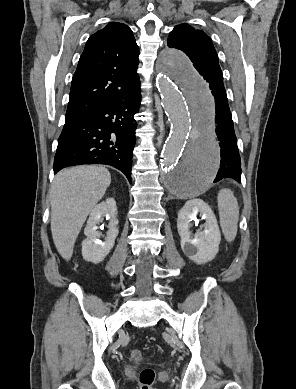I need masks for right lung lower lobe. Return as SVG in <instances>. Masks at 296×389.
<instances>
[{
    "label": "right lung lower lobe",
    "mask_w": 296,
    "mask_h": 389,
    "mask_svg": "<svg viewBox=\"0 0 296 389\" xmlns=\"http://www.w3.org/2000/svg\"><path fill=\"white\" fill-rule=\"evenodd\" d=\"M140 101L137 76L118 100L66 120L58 139L54 173L68 166L106 164L122 171L131 183L134 115Z\"/></svg>",
    "instance_id": "1"
}]
</instances>
